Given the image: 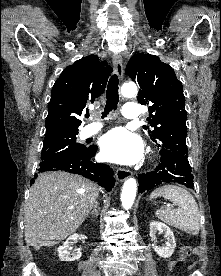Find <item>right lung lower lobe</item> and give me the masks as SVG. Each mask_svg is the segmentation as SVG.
Here are the masks:
<instances>
[{"instance_id":"98d812e1","label":"right lung lower lobe","mask_w":221,"mask_h":276,"mask_svg":"<svg viewBox=\"0 0 221 276\" xmlns=\"http://www.w3.org/2000/svg\"><path fill=\"white\" fill-rule=\"evenodd\" d=\"M97 147L92 146L81 154H71L56 158L45 159L40 162L39 172L50 170H62L70 173L80 174L89 178L110 191L114 186L113 170L106 164L92 162ZM37 174H35L36 178ZM34 179L31 180V184Z\"/></svg>"}]
</instances>
